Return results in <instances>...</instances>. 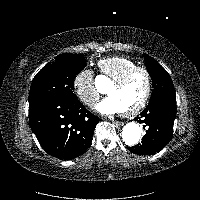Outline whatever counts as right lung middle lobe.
Masks as SVG:
<instances>
[{
    "label": "right lung middle lobe",
    "mask_w": 200,
    "mask_h": 200,
    "mask_svg": "<svg viewBox=\"0 0 200 200\" xmlns=\"http://www.w3.org/2000/svg\"><path fill=\"white\" fill-rule=\"evenodd\" d=\"M86 66L83 57L64 53L56 57L53 64H46L34 77L29 103L40 100L70 102L77 97L73 94L74 79Z\"/></svg>",
    "instance_id": "right-lung-middle-lobe-1"
}]
</instances>
